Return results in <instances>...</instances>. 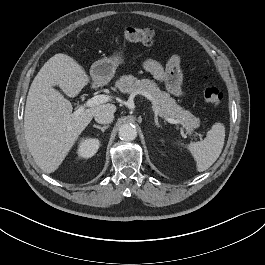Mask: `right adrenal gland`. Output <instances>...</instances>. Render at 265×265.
<instances>
[{"label": "right adrenal gland", "instance_id": "1", "mask_svg": "<svg viewBox=\"0 0 265 265\" xmlns=\"http://www.w3.org/2000/svg\"><path fill=\"white\" fill-rule=\"evenodd\" d=\"M93 127H94V128H97V129H99V130H101L102 133H104V131H105L109 126H108V125H107V126H99V125L94 124Z\"/></svg>", "mask_w": 265, "mask_h": 265}]
</instances>
